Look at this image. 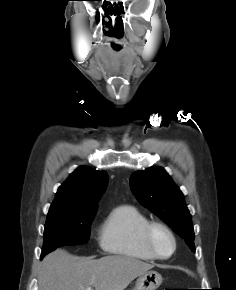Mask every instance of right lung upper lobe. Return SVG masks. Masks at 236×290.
<instances>
[{"label": "right lung upper lobe", "mask_w": 236, "mask_h": 290, "mask_svg": "<svg viewBox=\"0 0 236 290\" xmlns=\"http://www.w3.org/2000/svg\"><path fill=\"white\" fill-rule=\"evenodd\" d=\"M108 182L105 171L86 166L77 168L59 187L48 214H83L96 212L97 202Z\"/></svg>", "instance_id": "obj_1"}]
</instances>
